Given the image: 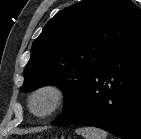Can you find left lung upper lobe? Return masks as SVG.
<instances>
[{
	"label": "left lung upper lobe",
	"mask_w": 141,
	"mask_h": 139,
	"mask_svg": "<svg viewBox=\"0 0 141 139\" xmlns=\"http://www.w3.org/2000/svg\"><path fill=\"white\" fill-rule=\"evenodd\" d=\"M140 29L141 10L131 0H83L60 11L33 42L20 91L59 86L65 111L90 73Z\"/></svg>",
	"instance_id": "left-lung-upper-lobe-1"
}]
</instances>
